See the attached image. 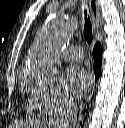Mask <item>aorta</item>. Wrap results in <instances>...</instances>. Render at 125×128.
<instances>
[{
  "label": "aorta",
  "instance_id": "1",
  "mask_svg": "<svg viewBox=\"0 0 125 128\" xmlns=\"http://www.w3.org/2000/svg\"><path fill=\"white\" fill-rule=\"evenodd\" d=\"M74 30L73 20L55 16L38 31L29 57L32 72L38 79L50 81L57 77L61 48L70 40Z\"/></svg>",
  "mask_w": 125,
  "mask_h": 128
}]
</instances>
